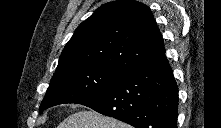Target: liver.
Masks as SVG:
<instances>
[{
    "label": "liver",
    "instance_id": "1",
    "mask_svg": "<svg viewBox=\"0 0 221 128\" xmlns=\"http://www.w3.org/2000/svg\"><path fill=\"white\" fill-rule=\"evenodd\" d=\"M58 128H131V126L96 111L85 110L68 116Z\"/></svg>",
    "mask_w": 221,
    "mask_h": 128
}]
</instances>
